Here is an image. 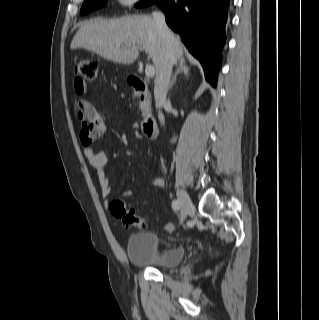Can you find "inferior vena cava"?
<instances>
[{"instance_id": "602c4592", "label": "inferior vena cava", "mask_w": 319, "mask_h": 320, "mask_svg": "<svg viewBox=\"0 0 319 320\" xmlns=\"http://www.w3.org/2000/svg\"><path fill=\"white\" fill-rule=\"evenodd\" d=\"M153 19L157 25L159 36L163 40L165 48L160 71L158 77L155 80L154 87L156 108L159 109V120L161 124H164V116L160 111V108H162L166 103L172 68L176 60L173 48L174 37L173 33L166 24L165 16L163 13L154 12Z\"/></svg>"}]
</instances>
